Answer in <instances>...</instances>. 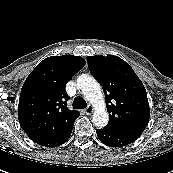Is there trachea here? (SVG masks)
<instances>
[{"mask_svg":"<svg viewBox=\"0 0 173 173\" xmlns=\"http://www.w3.org/2000/svg\"><path fill=\"white\" fill-rule=\"evenodd\" d=\"M86 106H87L86 101L82 97L78 96L74 98L73 101L74 109H84L86 108Z\"/></svg>","mask_w":173,"mask_h":173,"instance_id":"obj_1","label":"trachea"}]
</instances>
